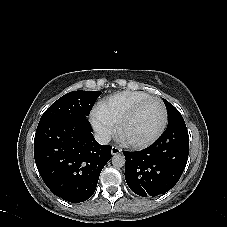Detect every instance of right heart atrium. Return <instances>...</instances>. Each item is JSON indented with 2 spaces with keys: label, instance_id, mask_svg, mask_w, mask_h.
Segmentation results:
<instances>
[{
  "label": "right heart atrium",
  "instance_id": "d8ad5b80",
  "mask_svg": "<svg viewBox=\"0 0 227 227\" xmlns=\"http://www.w3.org/2000/svg\"><path fill=\"white\" fill-rule=\"evenodd\" d=\"M91 125L102 141L108 140L114 133V124L104 118L95 108L91 114Z\"/></svg>",
  "mask_w": 227,
  "mask_h": 227
}]
</instances>
